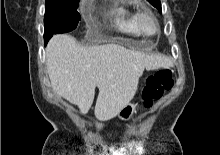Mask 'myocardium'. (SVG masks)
<instances>
[{"instance_id":"myocardium-1","label":"myocardium","mask_w":220,"mask_h":155,"mask_svg":"<svg viewBox=\"0 0 220 155\" xmlns=\"http://www.w3.org/2000/svg\"><path fill=\"white\" fill-rule=\"evenodd\" d=\"M146 17H149L150 19H152V21L155 24V31L152 34L145 32L143 29L142 22ZM134 22H135V26H136L138 32L144 36H154V35L158 34L160 31L159 22H158L156 16L150 10L144 9V10H140V11L136 12L135 17H134Z\"/></svg>"}]
</instances>
